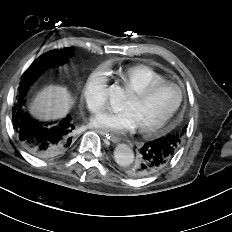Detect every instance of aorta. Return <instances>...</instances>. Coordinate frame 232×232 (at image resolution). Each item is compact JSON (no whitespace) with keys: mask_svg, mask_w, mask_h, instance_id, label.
Listing matches in <instances>:
<instances>
[{"mask_svg":"<svg viewBox=\"0 0 232 232\" xmlns=\"http://www.w3.org/2000/svg\"><path fill=\"white\" fill-rule=\"evenodd\" d=\"M109 100L115 111L123 109L125 92L119 85H112L108 89ZM114 158L120 166H129L134 160L133 150L126 144H118L114 150Z\"/></svg>","mask_w":232,"mask_h":232,"instance_id":"1","label":"aorta"}]
</instances>
